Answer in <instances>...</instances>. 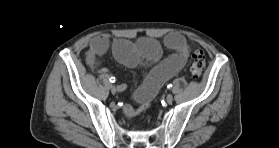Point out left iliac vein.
<instances>
[{"label": "left iliac vein", "instance_id": "4c4485c4", "mask_svg": "<svg viewBox=\"0 0 279 148\" xmlns=\"http://www.w3.org/2000/svg\"><path fill=\"white\" fill-rule=\"evenodd\" d=\"M166 101H167V103H171L173 101V95L168 94L166 97Z\"/></svg>", "mask_w": 279, "mask_h": 148}]
</instances>
